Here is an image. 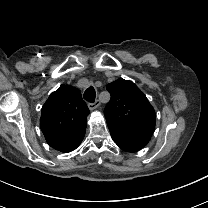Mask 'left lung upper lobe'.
<instances>
[{"label": "left lung upper lobe", "mask_w": 208, "mask_h": 208, "mask_svg": "<svg viewBox=\"0 0 208 208\" xmlns=\"http://www.w3.org/2000/svg\"><path fill=\"white\" fill-rule=\"evenodd\" d=\"M111 99L105 107L107 123L140 130L150 140L155 130V111L147 97L131 81L119 78L109 83Z\"/></svg>", "instance_id": "5c2ea615"}]
</instances>
